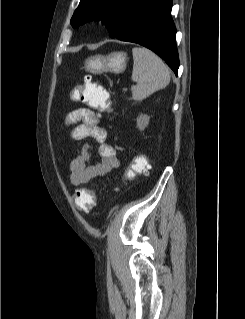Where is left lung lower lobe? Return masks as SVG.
<instances>
[{
    "instance_id": "0a47b994",
    "label": "left lung lower lobe",
    "mask_w": 245,
    "mask_h": 319,
    "mask_svg": "<svg viewBox=\"0 0 245 319\" xmlns=\"http://www.w3.org/2000/svg\"><path fill=\"white\" fill-rule=\"evenodd\" d=\"M171 8L172 0H143L133 9L114 38L151 49L177 75L179 59Z\"/></svg>"
}]
</instances>
